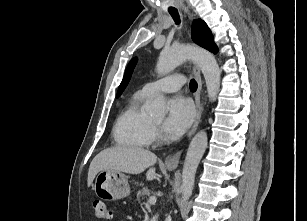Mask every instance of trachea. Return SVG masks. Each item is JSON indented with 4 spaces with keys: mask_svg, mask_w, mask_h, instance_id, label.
Returning <instances> with one entry per match:
<instances>
[{
    "mask_svg": "<svg viewBox=\"0 0 307 221\" xmlns=\"http://www.w3.org/2000/svg\"><path fill=\"white\" fill-rule=\"evenodd\" d=\"M169 13L172 16V18L174 19L175 23L179 24L180 23V16L178 14L177 9H170ZM189 87H190L191 91L195 92L197 90L198 84L194 79H191Z\"/></svg>",
    "mask_w": 307,
    "mask_h": 221,
    "instance_id": "3493384b",
    "label": "trachea"
}]
</instances>
